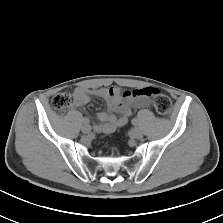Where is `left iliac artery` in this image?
<instances>
[{"label": "left iliac artery", "mask_w": 223, "mask_h": 223, "mask_svg": "<svg viewBox=\"0 0 223 223\" xmlns=\"http://www.w3.org/2000/svg\"><path fill=\"white\" fill-rule=\"evenodd\" d=\"M131 122H132V124L135 125V126L138 125V120H137L136 118L132 119Z\"/></svg>", "instance_id": "obj_1"}]
</instances>
